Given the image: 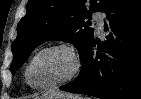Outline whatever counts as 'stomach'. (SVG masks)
<instances>
[{"instance_id":"1","label":"stomach","mask_w":141,"mask_h":99,"mask_svg":"<svg viewBox=\"0 0 141 99\" xmlns=\"http://www.w3.org/2000/svg\"><path fill=\"white\" fill-rule=\"evenodd\" d=\"M38 99H52L51 97H50V95H42L40 98H38Z\"/></svg>"}]
</instances>
